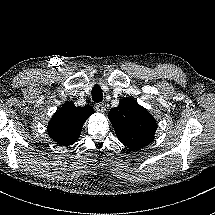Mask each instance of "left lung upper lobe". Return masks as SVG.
<instances>
[{
    "label": "left lung upper lobe",
    "mask_w": 215,
    "mask_h": 215,
    "mask_svg": "<svg viewBox=\"0 0 215 215\" xmlns=\"http://www.w3.org/2000/svg\"><path fill=\"white\" fill-rule=\"evenodd\" d=\"M118 139L130 150L149 145L157 128L155 119L137 101L124 98L108 115Z\"/></svg>",
    "instance_id": "obj_1"
}]
</instances>
